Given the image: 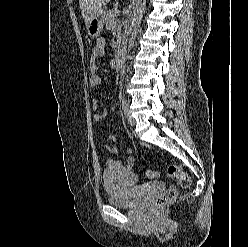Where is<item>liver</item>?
<instances>
[{"label":"liver","mask_w":248,"mask_h":247,"mask_svg":"<svg viewBox=\"0 0 248 247\" xmlns=\"http://www.w3.org/2000/svg\"><path fill=\"white\" fill-rule=\"evenodd\" d=\"M110 1L111 0H79L81 13L86 26L89 20L102 10V6H105Z\"/></svg>","instance_id":"1"}]
</instances>
